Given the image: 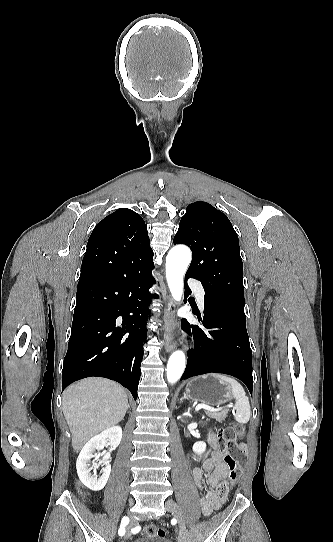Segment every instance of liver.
Masks as SVG:
<instances>
[{
  "label": "liver",
  "mask_w": 333,
  "mask_h": 542,
  "mask_svg": "<svg viewBox=\"0 0 333 542\" xmlns=\"http://www.w3.org/2000/svg\"><path fill=\"white\" fill-rule=\"evenodd\" d=\"M123 388L104 378H85L63 392L62 410L72 434V448L84 444L106 428L123 420L128 410Z\"/></svg>",
  "instance_id": "liver-1"
}]
</instances>
